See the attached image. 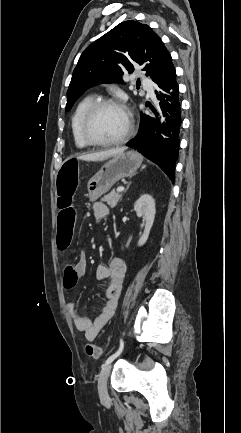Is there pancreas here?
Segmentation results:
<instances>
[{
    "label": "pancreas",
    "instance_id": "cf45deb5",
    "mask_svg": "<svg viewBox=\"0 0 241 433\" xmlns=\"http://www.w3.org/2000/svg\"><path fill=\"white\" fill-rule=\"evenodd\" d=\"M122 194L116 193L114 191L110 192L109 194L105 195L101 201L106 202L111 208H114L119 200L121 199Z\"/></svg>",
    "mask_w": 241,
    "mask_h": 433
}]
</instances>
